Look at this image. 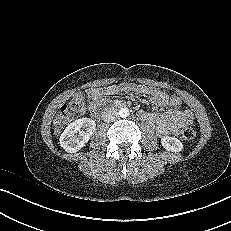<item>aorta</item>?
I'll return each mask as SVG.
<instances>
[{
	"instance_id": "obj_1",
	"label": "aorta",
	"mask_w": 231,
	"mask_h": 231,
	"mask_svg": "<svg viewBox=\"0 0 231 231\" xmlns=\"http://www.w3.org/2000/svg\"><path fill=\"white\" fill-rule=\"evenodd\" d=\"M129 114H130V113H129V109L126 108V107L121 108V109L119 110V116L122 117V118L128 117Z\"/></svg>"
}]
</instances>
